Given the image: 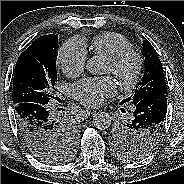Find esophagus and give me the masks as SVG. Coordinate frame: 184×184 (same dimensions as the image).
<instances>
[{
    "mask_svg": "<svg viewBox=\"0 0 184 184\" xmlns=\"http://www.w3.org/2000/svg\"><path fill=\"white\" fill-rule=\"evenodd\" d=\"M85 113H86V114H88V115H90V114H93V113H95V111H91V110H85Z\"/></svg>",
    "mask_w": 184,
    "mask_h": 184,
    "instance_id": "1",
    "label": "esophagus"
}]
</instances>
